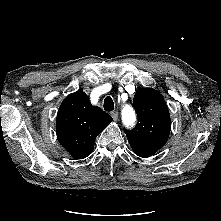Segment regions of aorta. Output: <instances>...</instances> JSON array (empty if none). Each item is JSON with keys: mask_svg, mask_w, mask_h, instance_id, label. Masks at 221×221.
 <instances>
[{"mask_svg": "<svg viewBox=\"0 0 221 221\" xmlns=\"http://www.w3.org/2000/svg\"><path fill=\"white\" fill-rule=\"evenodd\" d=\"M122 122L126 127L133 126L136 122V114L130 105H125L122 108Z\"/></svg>", "mask_w": 221, "mask_h": 221, "instance_id": "obj_1", "label": "aorta"}]
</instances>
